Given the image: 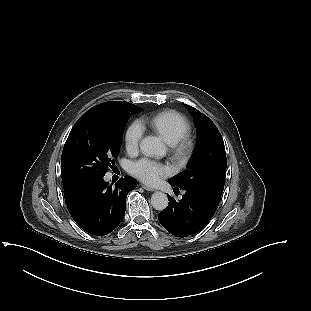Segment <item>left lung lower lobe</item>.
<instances>
[{
    "label": "left lung lower lobe",
    "mask_w": 311,
    "mask_h": 311,
    "mask_svg": "<svg viewBox=\"0 0 311 311\" xmlns=\"http://www.w3.org/2000/svg\"><path fill=\"white\" fill-rule=\"evenodd\" d=\"M218 204L219 202L199 192L186 190L178 202L169 196L168 207L159 214L158 219L172 235L186 237L199 232L207 225Z\"/></svg>",
    "instance_id": "1"
}]
</instances>
